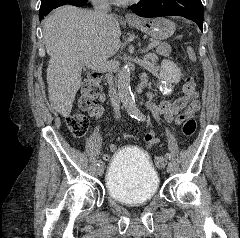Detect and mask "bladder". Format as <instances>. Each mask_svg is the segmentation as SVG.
<instances>
[{"label":"bladder","instance_id":"31cf9c89","mask_svg":"<svg viewBox=\"0 0 240 238\" xmlns=\"http://www.w3.org/2000/svg\"><path fill=\"white\" fill-rule=\"evenodd\" d=\"M159 174L149 156L136 147L116 152L106 175L108 195L122 204H142L152 200L159 189Z\"/></svg>","mask_w":240,"mask_h":238}]
</instances>
